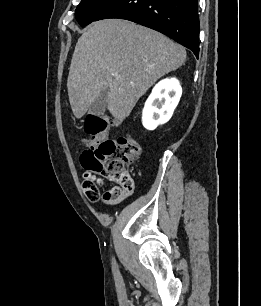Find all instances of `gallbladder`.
<instances>
[{"mask_svg":"<svg viewBox=\"0 0 261 306\" xmlns=\"http://www.w3.org/2000/svg\"><path fill=\"white\" fill-rule=\"evenodd\" d=\"M108 103V89H103L90 105L89 112L95 116H103Z\"/></svg>","mask_w":261,"mask_h":306,"instance_id":"bac80fb5","label":"gallbladder"}]
</instances>
